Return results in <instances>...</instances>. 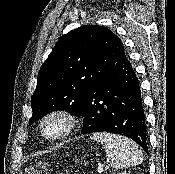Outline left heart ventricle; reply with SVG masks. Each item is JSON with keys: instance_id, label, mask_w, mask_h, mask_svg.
I'll use <instances>...</instances> for the list:
<instances>
[{"instance_id": "obj_1", "label": "left heart ventricle", "mask_w": 175, "mask_h": 174, "mask_svg": "<svg viewBox=\"0 0 175 174\" xmlns=\"http://www.w3.org/2000/svg\"><path fill=\"white\" fill-rule=\"evenodd\" d=\"M64 127V121L60 118H52L45 124V132L48 135H55L59 133Z\"/></svg>"}]
</instances>
